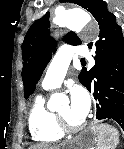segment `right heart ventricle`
<instances>
[{"mask_svg":"<svg viewBox=\"0 0 124 149\" xmlns=\"http://www.w3.org/2000/svg\"><path fill=\"white\" fill-rule=\"evenodd\" d=\"M28 127L33 141L50 144L59 141L63 136L56 126L54 114L47 107L43 95L36 97L28 115Z\"/></svg>","mask_w":124,"mask_h":149,"instance_id":"1","label":"right heart ventricle"}]
</instances>
